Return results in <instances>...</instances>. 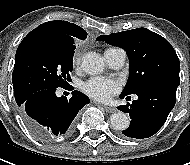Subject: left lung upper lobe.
Listing matches in <instances>:
<instances>
[{
    "instance_id": "1",
    "label": "left lung upper lobe",
    "mask_w": 190,
    "mask_h": 165,
    "mask_svg": "<svg viewBox=\"0 0 190 165\" xmlns=\"http://www.w3.org/2000/svg\"><path fill=\"white\" fill-rule=\"evenodd\" d=\"M98 41L123 48L130 61V73L121 95H129L149 84H180V63L171 44L146 28L101 35Z\"/></svg>"
}]
</instances>
